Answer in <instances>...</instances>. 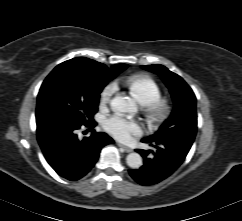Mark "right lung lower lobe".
<instances>
[{
    "label": "right lung lower lobe",
    "mask_w": 242,
    "mask_h": 221,
    "mask_svg": "<svg viewBox=\"0 0 242 221\" xmlns=\"http://www.w3.org/2000/svg\"><path fill=\"white\" fill-rule=\"evenodd\" d=\"M93 121L72 124L62 120L37 123V139L42 152L58 175L76 181L84 177L95 165L102 147L113 143L106 133L95 132L79 139L77 130L91 127Z\"/></svg>",
    "instance_id": "obj_1"
}]
</instances>
